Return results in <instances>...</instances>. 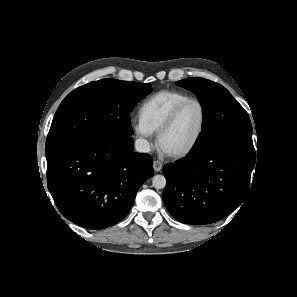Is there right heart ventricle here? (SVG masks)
Masks as SVG:
<instances>
[{
  "mask_svg": "<svg viewBox=\"0 0 297 297\" xmlns=\"http://www.w3.org/2000/svg\"><path fill=\"white\" fill-rule=\"evenodd\" d=\"M188 98L189 95L180 91H159L142 103L140 118L151 132H157L173 109Z\"/></svg>",
  "mask_w": 297,
  "mask_h": 297,
  "instance_id": "e07e8e85",
  "label": "right heart ventricle"
}]
</instances>
